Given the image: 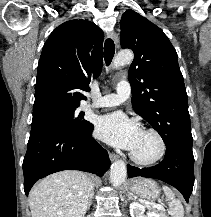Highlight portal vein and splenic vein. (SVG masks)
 Listing matches in <instances>:
<instances>
[{"label": "portal vein and splenic vein", "mask_w": 211, "mask_h": 217, "mask_svg": "<svg viewBox=\"0 0 211 217\" xmlns=\"http://www.w3.org/2000/svg\"><path fill=\"white\" fill-rule=\"evenodd\" d=\"M147 205L152 206L153 208H156L158 210H162L163 206L159 205V204H153V203H147Z\"/></svg>", "instance_id": "1"}]
</instances>
